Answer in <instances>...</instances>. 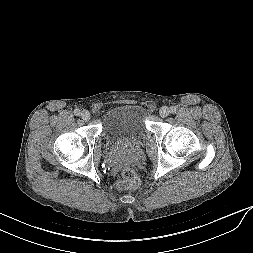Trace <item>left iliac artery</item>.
Listing matches in <instances>:
<instances>
[{"instance_id": "44dca946", "label": "left iliac artery", "mask_w": 253, "mask_h": 253, "mask_svg": "<svg viewBox=\"0 0 253 253\" xmlns=\"http://www.w3.org/2000/svg\"><path fill=\"white\" fill-rule=\"evenodd\" d=\"M170 112L171 113H176V107L175 106H171L170 107Z\"/></svg>"}]
</instances>
